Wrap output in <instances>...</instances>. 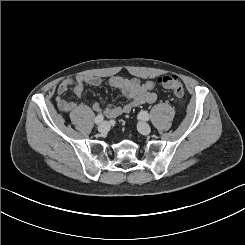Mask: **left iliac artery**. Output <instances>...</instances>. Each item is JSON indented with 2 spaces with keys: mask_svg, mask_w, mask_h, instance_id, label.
<instances>
[{
  "mask_svg": "<svg viewBox=\"0 0 245 245\" xmlns=\"http://www.w3.org/2000/svg\"><path fill=\"white\" fill-rule=\"evenodd\" d=\"M140 117L143 118V120L148 121L150 119L148 113L146 111H141L140 112Z\"/></svg>",
  "mask_w": 245,
  "mask_h": 245,
  "instance_id": "44dca946",
  "label": "left iliac artery"
}]
</instances>
